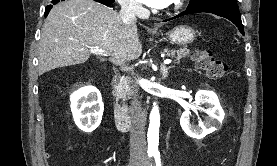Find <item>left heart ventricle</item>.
<instances>
[{
  "label": "left heart ventricle",
  "instance_id": "b2bd125f",
  "mask_svg": "<svg viewBox=\"0 0 277 166\" xmlns=\"http://www.w3.org/2000/svg\"><path fill=\"white\" fill-rule=\"evenodd\" d=\"M175 1H176V0H170L169 3H168V5H167L166 7L169 8Z\"/></svg>",
  "mask_w": 277,
  "mask_h": 166
}]
</instances>
